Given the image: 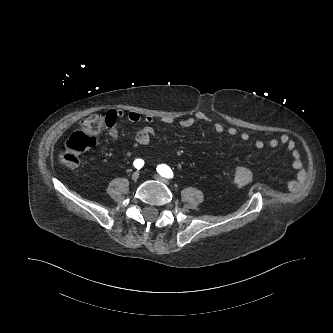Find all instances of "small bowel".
Returning <instances> with one entry per match:
<instances>
[{
  "mask_svg": "<svg viewBox=\"0 0 333 333\" xmlns=\"http://www.w3.org/2000/svg\"><path fill=\"white\" fill-rule=\"evenodd\" d=\"M115 114L117 117H122L124 113L123 111L118 110L115 111ZM127 118L132 123H138L141 120H143L146 123V125L137 132L135 140L139 145H148L154 134V128L152 126L154 122V117L152 115H145L142 117L138 112L131 111L128 113ZM162 121L165 124L172 123V121L168 118H163ZM198 122H207L211 124L214 131L218 134H227L228 136L231 137L239 136V138L244 142L250 139V135L247 132L239 133L237 128L232 126L227 127L224 124H222L220 121L211 118L210 116H208L203 112H197L195 115L181 120L179 122V126L181 128L186 129L192 127L194 124ZM110 136L115 140L120 139L118 130L114 127L110 131ZM266 143L271 148H276L279 145H284L287 148L292 158V167L299 173L298 180L291 183V186L295 188L299 184L303 176L302 174L303 162L299 154L296 142L288 134L285 133L281 134L279 137H272L267 142L259 138L254 140V146L257 149L264 148Z\"/></svg>",
  "mask_w": 333,
  "mask_h": 333,
  "instance_id": "obj_1",
  "label": "small bowel"
}]
</instances>
